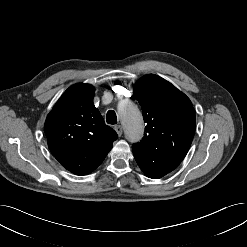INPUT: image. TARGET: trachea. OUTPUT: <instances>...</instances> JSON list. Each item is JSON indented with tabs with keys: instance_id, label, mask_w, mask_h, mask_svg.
Masks as SVG:
<instances>
[{
	"instance_id": "3493384b",
	"label": "trachea",
	"mask_w": 247,
	"mask_h": 247,
	"mask_svg": "<svg viewBox=\"0 0 247 247\" xmlns=\"http://www.w3.org/2000/svg\"><path fill=\"white\" fill-rule=\"evenodd\" d=\"M106 121L108 124H117V116L113 110L107 112Z\"/></svg>"
}]
</instances>
